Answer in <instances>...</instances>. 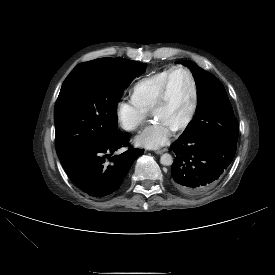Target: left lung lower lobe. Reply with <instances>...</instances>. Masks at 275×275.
<instances>
[{
    "label": "left lung lower lobe",
    "mask_w": 275,
    "mask_h": 275,
    "mask_svg": "<svg viewBox=\"0 0 275 275\" xmlns=\"http://www.w3.org/2000/svg\"><path fill=\"white\" fill-rule=\"evenodd\" d=\"M237 141L226 134L178 138L172 183L182 193L197 195L211 189L231 163Z\"/></svg>",
    "instance_id": "1"
}]
</instances>
